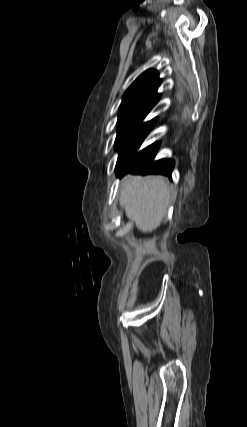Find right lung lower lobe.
<instances>
[{
    "mask_svg": "<svg viewBox=\"0 0 247 427\" xmlns=\"http://www.w3.org/2000/svg\"><path fill=\"white\" fill-rule=\"evenodd\" d=\"M156 119L139 124L120 147L116 172L126 174H163L171 176L174 161L162 159L154 161L159 143H154L137 153L147 134L155 125Z\"/></svg>",
    "mask_w": 247,
    "mask_h": 427,
    "instance_id": "98d812e1",
    "label": "right lung lower lobe"
}]
</instances>
